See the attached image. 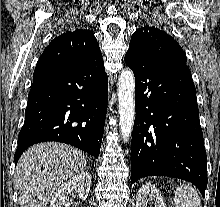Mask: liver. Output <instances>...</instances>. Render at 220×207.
<instances>
[{"mask_svg": "<svg viewBox=\"0 0 220 207\" xmlns=\"http://www.w3.org/2000/svg\"><path fill=\"white\" fill-rule=\"evenodd\" d=\"M86 168V156L72 146L45 142L28 148L15 173L20 207H47L53 192Z\"/></svg>", "mask_w": 220, "mask_h": 207, "instance_id": "1", "label": "liver"}]
</instances>
